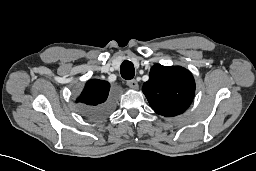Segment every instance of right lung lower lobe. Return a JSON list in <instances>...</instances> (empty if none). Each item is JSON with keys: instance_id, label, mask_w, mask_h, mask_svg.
<instances>
[{"instance_id": "1", "label": "right lung lower lobe", "mask_w": 256, "mask_h": 171, "mask_svg": "<svg viewBox=\"0 0 256 171\" xmlns=\"http://www.w3.org/2000/svg\"><path fill=\"white\" fill-rule=\"evenodd\" d=\"M113 99H109L105 103L93 108L83 110V114L90 119H100L108 115L113 109Z\"/></svg>"}]
</instances>
